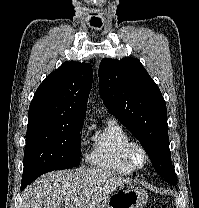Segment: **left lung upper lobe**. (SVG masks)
I'll return each instance as SVG.
<instances>
[{"label":"left lung upper lobe","instance_id":"left-lung-upper-lobe-1","mask_svg":"<svg viewBox=\"0 0 199 208\" xmlns=\"http://www.w3.org/2000/svg\"><path fill=\"white\" fill-rule=\"evenodd\" d=\"M99 80L108 112L140 141L157 173L168 183L177 181L170 159L166 104L141 62L104 58Z\"/></svg>","mask_w":199,"mask_h":208}]
</instances>
